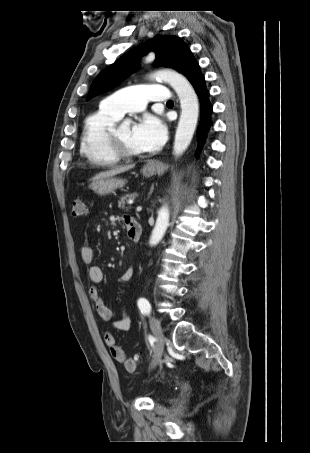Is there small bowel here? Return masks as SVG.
<instances>
[{"label": "small bowel", "instance_id": "small-bowel-1", "mask_svg": "<svg viewBox=\"0 0 310 453\" xmlns=\"http://www.w3.org/2000/svg\"><path fill=\"white\" fill-rule=\"evenodd\" d=\"M123 221L127 228V225L131 221H135V219L129 215H124ZM80 257L81 261L84 264H91L94 258L93 248L89 245H83L80 248ZM133 276L134 269L130 267L117 278V282H128L132 279ZM87 278L91 283V286L89 288V297L95 306L96 312L103 321H110L115 316V312L105 304L98 288V285L103 281L104 278L102 269L98 266H90L87 271ZM113 327L118 331H128L131 327V318L128 314L122 312L120 317L113 322ZM105 343L109 348L112 357L117 362L124 363L126 361V354L124 350L117 344L116 339L112 333H105Z\"/></svg>", "mask_w": 310, "mask_h": 453}]
</instances>
